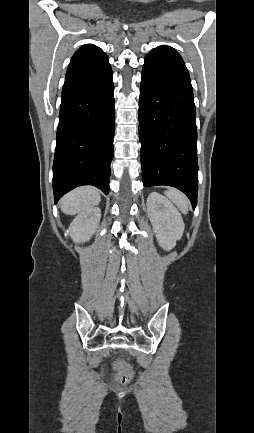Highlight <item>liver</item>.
Here are the masks:
<instances>
[{
    "instance_id": "liver-1",
    "label": "liver",
    "mask_w": 254,
    "mask_h": 433,
    "mask_svg": "<svg viewBox=\"0 0 254 433\" xmlns=\"http://www.w3.org/2000/svg\"><path fill=\"white\" fill-rule=\"evenodd\" d=\"M101 201L100 192L92 186L79 187L61 199V210L67 215H75L94 208Z\"/></svg>"
}]
</instances>
